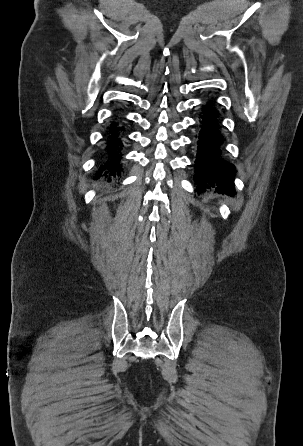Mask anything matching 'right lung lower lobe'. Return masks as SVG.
<instances>
[{"instance_id":"obj_1","label":"right lung lower lobe","mask_w":303,"mask_h":446,"mask_svg":"<svg viewBox=\"0 0 303 446\" xmlns=\"http://www.w3.org/2000/svg\"><path fill=\"white\" fill-rule=\"evenodd\" d=\"M125 137V128L118 121L112 122L109 128V133L107 137V146L105 150L107 151L106 161L100 165L99 171L102 173L106 170L105 174L108 172L111 175H119L122 171L121 165L119 163L122 149L123 139Z\"/></svg>"}]
</instances>
